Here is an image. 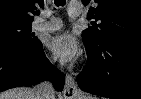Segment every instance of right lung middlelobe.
<instances>
[{"mask_svg":"<svg viewBox=\"0 0 141 99\" xmlns=\"http://www.w3.org/2000/svg\"><path fill=\"white\" fill-rule=\"evenodd\" d=\"M32 22H0V44L29 45L39 40L31 33Z\"/></svg>","mask_w":141,"mask_h":99,"instance_id":"1","label":"right lung middle lobe"}]
</instances>
